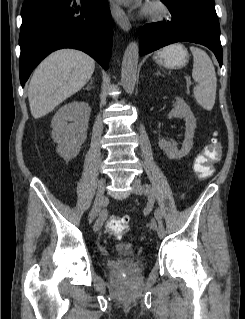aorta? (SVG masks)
Masks as SVG:
<instances>
[{
    "mask_svg": "<svg viewBox=\"0 0 245 319\" xmlns=\"http://www.w3.org/2000/svg\"><path fill=\"white\" fill-rule=\"evenodd\" d=\"M138 57V44L136 42L129 43L123 56L121 70L122 86L129 94H132L135 88Z\"/></svg>",
    "mask_w": 245,
    "mask_h": 319,
    "instance_id": "aorta-1",
    "label": "aorta"
}]
</instances>
